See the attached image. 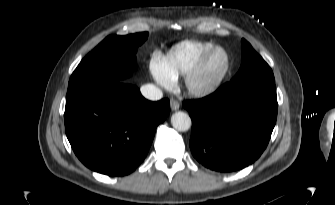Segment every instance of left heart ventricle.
Here are the masks:
<instances>
[{"label":"left heart ventricle","mask_w":335,"mask_h":205,"mask_svg":"<svg viewBox=\"0 0 335 205\" xmlns=\"http://www.w3.org/2000/svg\"><path fill=\"white\" fill-rule=\"evenodd\" d=\"M225 64L223 53H215L208 61L205 70L201 76V82L206 83L216 78L222 71Z\"/></svg>","instance_id":"1"}]
</instances>
